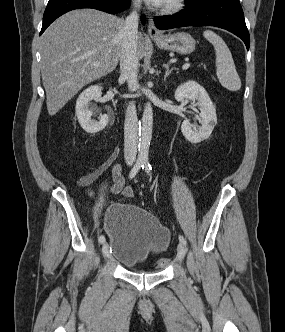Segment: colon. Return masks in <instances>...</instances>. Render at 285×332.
Returning <instances> with one entry per match:
<instances>
[{
	"instance_id": "colon-1",
	"label": "colon",
	"mask_w": 285,
	"mask_h": 332,
	"mask_svg": "<svg viewBox=\"0 0 285 332\" xmlns=\"http://www.w3.org/2000/svg\"><path fill=\"white\" fill-rule=\"evenodd\" d=\"M167 263H168V259H167V258H162V259H160V260L157 262V264H158L159 266L166 265Z\"/></svg>"
}]
</instances>
